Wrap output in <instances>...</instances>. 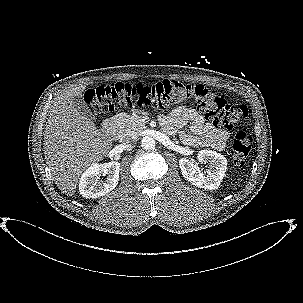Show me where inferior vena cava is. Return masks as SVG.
I'll return each mask as SVG.
<instances>
[{"instance_id": "602c4592", "label": "inferior vena cava", "mask_w": 303, "mask_h": 303, "mask_svg": "<svg viewBox=\"0 0 303 303\" xmlns=\"http://www.w3.org/2000/svg\"><path fill=\"white\" fill-rule=\"evenodd\" d=\"M121 141L125 145L126 149H128V150H130L134 147L135 138L130 135L122 136Z\"/></svg>"}]
</instances>
